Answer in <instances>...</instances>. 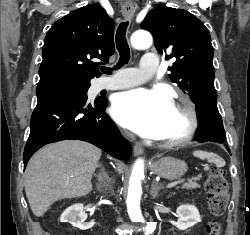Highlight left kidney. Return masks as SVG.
<instances>
[{
    "label": "left kidney",
    "mask_w": 250,
    "mask_h": 235,
    "mask_svg": "<svg viewBox=\"0 0 250 235\" xmlns=\"http://www.w3.org/2000/svg\"><path fill=\"white\" fill-rule=\"evenodd\" d=\"M178 221L174 225L181 231L201 222L198 209L194 205H181L177 208Z\"/></svg>",
    "instance_id": "5707ae66"
}]
</instances>
